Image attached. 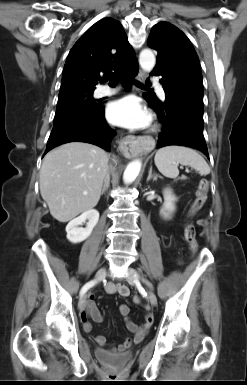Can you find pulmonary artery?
<instances>
[{"mask_svg": "<svg viewBox=\"0 0 247 385\" xmlns=\"http://www.w3.org/2000/svg\"><path fill=\"white\" fill-rule=\"evenodd\" d=\"M155 84H156V89H157L159 96L162 99H164L165 98V92H164L162 86L157 81H155ZM114 93H115V90L113 88H110L109 86H100L95 91V95L97 97H105V96L112 95Z\"/></svg>", "mask_w": 247, "mask_h": 385, "instance_id": "pulmonary-artery-1", "label": "pulmonary artery"}]
</instances>
